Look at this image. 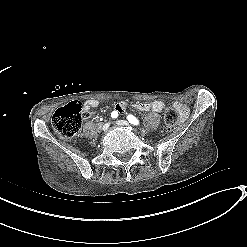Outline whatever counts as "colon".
Instances as JSON below:
<instances>
[{"label": "colon", "instance_id": "1", "mask_svg": "<svg viewBox=\"0 0 247 247\" xmlns=\"http://www.w3.org/2000/svg\"><path fill=\"white\" fill-rule=\"evenodd\" d=\"M83 103L74 99L69 105L57 109L52 118L55 131L64 138L75 136L83 123ZM164 122L169 130L176 127L178 113L173 107H167L164 111Z\"/></svg>", "mask_w": 247, "mask_h": 247}]
</instances>
